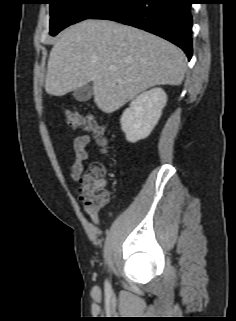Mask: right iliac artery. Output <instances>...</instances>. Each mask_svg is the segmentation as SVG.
<instances>
[{
  "mask_svg": "<svg viewBox=\"0 0 236 321\" xmlns=\"http://www.w3.org/2000/svg\"><path fill=\"white\" fill-rule=\"evenodd\" d=\"M105 289L110 290V285H109L108 281L105 282Z\"/></svg>",
  "mask_w": 236,
  "mask_h": 321,
  "instance_id": "1",
  "label": "right iliac artery"
}]
</instances>
